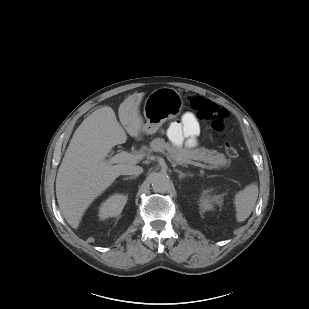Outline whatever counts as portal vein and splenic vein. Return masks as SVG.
I'll list each match as a JSON object with an SVG mask.
<instances>
[{
    "instance_id": "18ae733b",
    "label": "portal vein and splenic vein",
    "mask_w": 309,
    "mask_h": 309,
    "mask_svg": "<svg viewBox=\"0 0 309 309\" xmlns=\"http://www.w3.org/2000/svg\"><path fill=\"white\" fill-rule=\"evenodd\" d=\"M142 159V155L141 154H132V153H128L126 151H122L112 157H109L106 160V163L108 164H116V163H123V162H127V161H138ZM196 166H199L201 168L204 169H213V167L206 165V164H202V163H197Z\"/></svg>"
}]
</instances>
